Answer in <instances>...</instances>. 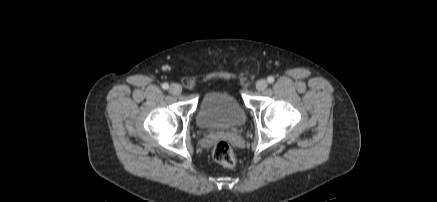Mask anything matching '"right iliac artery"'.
<instances>
[{"label": "right iliac artery", "mask_w": 437, "mask_h": 202, "mask_svg": "<svg viewBox=\"0 0 437 202\" xmlns=\"http://www.w3.org/2000/svg\"><path fill=\"white\" fill-rule=\"evenodd\" d=\"M162 88L165 89V90H167V89L169 88V85H168L167 83H163V84H162Z\"/></svg>", "instance_id": "right-iliac-artery-1"}]
</instances>
